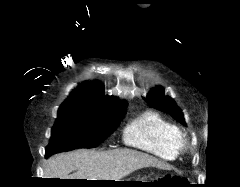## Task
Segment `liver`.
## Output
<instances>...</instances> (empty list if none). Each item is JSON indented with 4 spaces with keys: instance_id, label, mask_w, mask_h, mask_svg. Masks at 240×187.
<instances>
[{
    "instance_id": "1",
    "label": "liver",
    "mask_w": 240,
    "mask_h": 187,
    "mask_svg": "<svg viewBox=\"0 0 240 187\" xmlns=\"http://www.w3.org/2000/svg\"><path fill=\"white\" fill-rule=\"evenodd\" d=\"M150 166L168 168L158 159L131 149H79L51 156L47 160L44 175L45 178L119 181L138 169Z\"/></svg>"
}]
</instances>
